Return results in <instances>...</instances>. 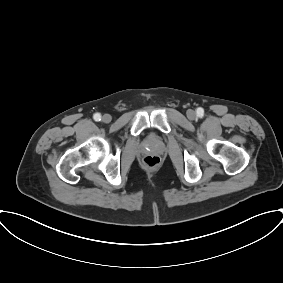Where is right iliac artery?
Here are the masks:
<instances>
[{
	"instance_id": "right-iliac-artery-1",
	"label": "right iliac artery",
	"mask_w": 283,
	"mask_h": 283,
	"mask_svg": "<svg viewBox=\"0 0 283 283\" xmlns=\"http://www.w3.org/2000/svg\"><path fill=\"white\" fill-rule=\"evenodd\" d=\"M95 121H100L101 120V115L99 113H95L93 116Z\"/></svg>"
}]
</instances>
